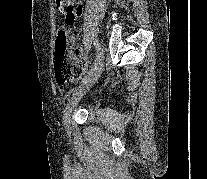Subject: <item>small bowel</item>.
<instances>
[{
    "mask_svg": "<svg viewBox=\"0 0 207 179\" xmlns=\"http://www.w3.org/2000/svg\"><path fill=\"white\" fill-rule=\"evenodd\" d=\"M83 13V6L80 4V5H77L75 8H74V11H73V15H72V19H71V23L74 22V20L81 16V14ZM71 46H72V49L73 50H77L78 49V46H77V43L75 41V39L73 38L72 41H71Z\"/></svg>",
    "mask_w": 207,
    "mask_h": 179,
    "instance_id": "small-bowel-1",
    "label": "small bowel"
}]
</instances>
